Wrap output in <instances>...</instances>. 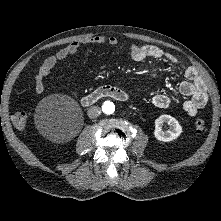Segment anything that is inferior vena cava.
Instances as JSON below:
<instances>
[{
  "mask_svg": "<svg viewBox=\"0 0 221 221\" xmlns=\"http://www.w3.org/2000/svg\"><path fill=\"white\" fill-rule=\"evenodd\" d=\"M88 117L91 119L97 118L101 114L99 106H91L87 111Z\"/></svg>",
  "mask_w": 221,
  "mask_h": 221,
  "instance_id": "602c4592",
  "label": "inferior vena cava"
}]
</instances>
